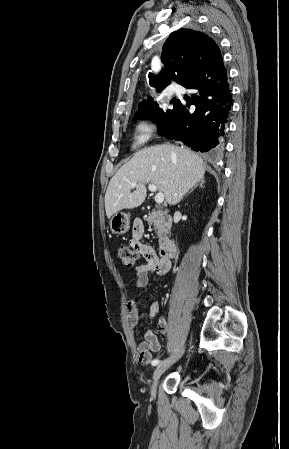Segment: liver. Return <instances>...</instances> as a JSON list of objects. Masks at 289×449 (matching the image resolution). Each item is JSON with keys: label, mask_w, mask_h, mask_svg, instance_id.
<instances>
[{"label": "liver", "mask_w": 289, "mask_h": 449, "mask_svg": "<svg viewBox=\"0 0 289 449\" xmlns=\"http://www.w3.org/2000/svg\"><path fill=\"white\" fill-rule=\"evenodd\" d=\"M204 174L203 160L187 148L167 144L144 148L110 180L105 194L106 215L111 218L120 210L140 206L149 182L164 194L166 203L175 205ZM132 182H137V186L131 193Z\"/></svg>", "instance_id": "liver-1"}]
</instances>
